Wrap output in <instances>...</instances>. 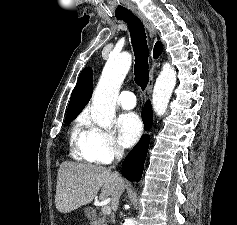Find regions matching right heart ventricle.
I'll return each mask as SVG.
<instances>
[{"label":"right heart ventricle","mask_w":237,"mask_h":225,"mask_svg":"<svg viewBox=\"0 0 237 225\" xmlns=\"http://www.w3.org/2000/svg\"><path fill=\"white\" fill-rule=\"evenodd\" d=\"M85 130L84 117H80L72 131L73 155L78 160L89 161L82 149V139Z\"/></svg>","instance_id":"right-heart-ventricle-1"}]
</instances>
